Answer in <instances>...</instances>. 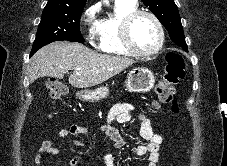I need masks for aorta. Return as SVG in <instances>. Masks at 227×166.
Returning a JSON list of instances; mask_svg holds the SVG:
<instances>
[{
	"label": "aorta",
	"mask_w": 227,
	"mask_h": 166,
	"mask_svg": "<svg viewBox=\"0 0 227 166\" xmlns=\"http://www.w3.org/2000/svg\"><path fill=\"white\" fill-rule=\"evenodd\" d=\"M104 2H106V3H107L108 1H107V0H104Z\"/></svg>",
	"instance_id": "1"
}]
</instances>
